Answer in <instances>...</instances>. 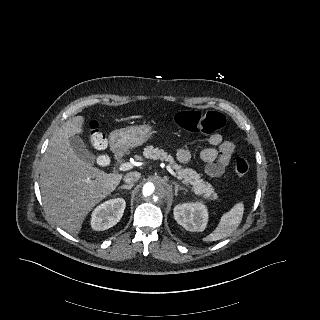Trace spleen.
I'll return each mask as SVG.
<instances>
[{
  "label": "spleen",
  "instance_id": "1",
  "mask_svg": "<svg viewBox=\"0 0 320 320\" xmlns=\"http://www.w3.org/2000/svg\"><path fill=\"white\" fill-rule=\"evenodd\" d=\"M244 213V205L242 202L235 204L228 212L221 216L216 229L206 236L203 241L212 242L223 239L233 233L240 225Z\"/></svg>",
  "mask_w": 320,
  "mask_h": 320
}]
</instances>
